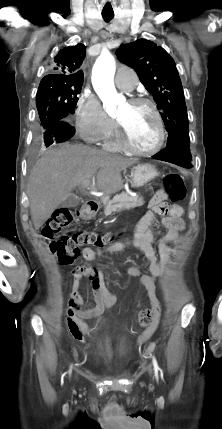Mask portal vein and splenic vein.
Wrapping results in <instances>:
<instances>
[{
    "instance_id": "18ae733b",
    "label": "portal vein and splenic vein",
    "mask_w": 222,
    "mask_h": 429,
    "mask_svg": "<svg viewBox=\"0 0 222 429\" xmlns=\"http://www.w3.org/2000/svg\"><path fill=\"white\" fill-rule=\"evenodd\" d=\"M89 185H90V181H84L82 184V186L85 188L88 187Z\"/></svg>"
}]
</instances>
